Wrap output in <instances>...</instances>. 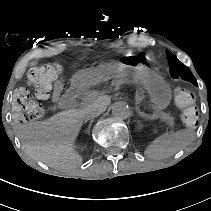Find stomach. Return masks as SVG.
I'll return each mask as SVG.
<instances>
[{
  "label": "stomach",
  "instance_id": "1",
  "mask_svg": "<svg viewBox=\"0 0 211 211\" xmlns=\"http://www.w3.org/2000/svg\"><path fill=\"white\" fill-rule=\"evenodd\" d=\"M111 78L142 85L149 93L156 111L165 109L171 100V89L163 77L143 65L109 64L102 68L87 69L74 78L81 87H89Z\"/></svg>",
  "mask_w": 211,
  "mask_h": 211
}]
</instances>
